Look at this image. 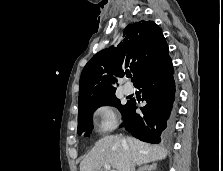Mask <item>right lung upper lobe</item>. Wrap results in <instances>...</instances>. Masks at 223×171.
Segmentation results:
<instances>
[{"label":"right lung upper lobe","mask_w":223,"mask_h":171,"mask_svg":"<svg viewBox=\"0 0 223 171\" xmlns=\"http://www.w3.org/2000/svg\"><path fill=\"white\" fill-rule=\"evenodd\" d=\"M166 40L153 21L129 24L115 48L98 52L85 65L80 78L79 108L115 93L111 83L117 81L113 75L123 77L122 67L133 73L134 85L150 74L170 57Z\"/></svg>","instance_id":"1"}]
</instances>
